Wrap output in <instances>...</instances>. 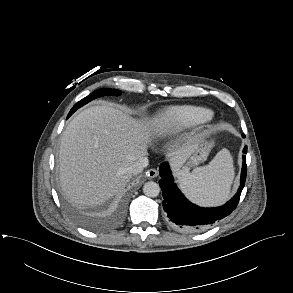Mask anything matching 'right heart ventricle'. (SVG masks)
<instances>
[{"label": "right heart ventricle", "mask_w": 293, "mask_h": 293, "mask_svg": "<svg viewBox=\"0 0 293 293\" xmlns=\"http://www.w3.org/2000/svg\"><path fill=\"white\" fill-rule=\"evenodd\" d=\"M212 117V112L193 105L172 106L163 110L154 124V133L167 137L202 124Z\"/></svg>", "instance_id": "right-heart-ventricle-1"}]
</instances>
